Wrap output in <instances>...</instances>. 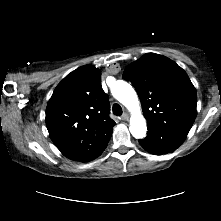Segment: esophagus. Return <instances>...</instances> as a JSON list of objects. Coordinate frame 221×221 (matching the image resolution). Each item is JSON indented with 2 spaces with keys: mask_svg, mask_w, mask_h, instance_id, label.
I'll list each match as a JSON object with an SVG mask.
<instances>
[{
  "mask_svg": "<svg viewBox=\"0 0 221 221\" xmlns=\"http://www.w3.org/2000/svg\"><path fill=\"white\" fill-rule=\"evenodd\" d=\"M121 118H122V120L128 121L129 120V115L127 113H123Z\"/></svg>",
  "mask_w": 221,
  "mask_h": 221,
  "instance_id": "esophagus-1",
  "label": "esophagus"
}]
</instances>
